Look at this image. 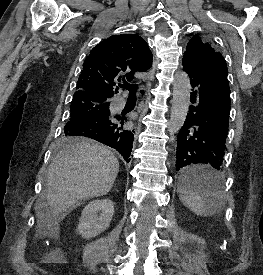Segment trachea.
<instances>
[{"instance_id": "3493384b", "label": "trachea", "mask_w": 263, "mask_h": 275, "mask_svg": "<svg viewBox=\"0 0 263 275\" xmlns=\"http://www.w3.org/2000/svg\"><path fill=\"white\" fill-rule=\"evenodd\" d=\"M121 88L127 89L129 91V97L135 98L136 97V91H137V86L129 84L127 82H124V84H120Z\"/></svg>"}]
</instances>
